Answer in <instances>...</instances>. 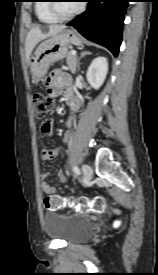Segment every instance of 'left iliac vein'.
Returning a JSON list of instances; mask_svg holds the SVG:
<instances>
[{"instance_id":"4c4485c4","label":"left iliac vein","mask_w":158,"mask_h":275,"mask_svg":"<svg viewBox=\"0 0 158 275\" xmlns=\"http://www.w3.org/2000/svg\"><path fill=\"white\" fill-rule=\"evenodd\" d=\"M82 171H83L85 179L87 181H89L91 179L92 173H93L92 168L88 164H83Z\"/></svg>"}]
</instances>
